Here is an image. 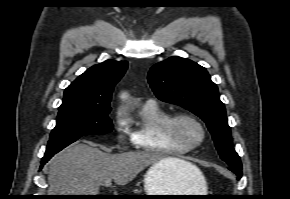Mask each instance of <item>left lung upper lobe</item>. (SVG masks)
<instances>
[{"label":"left lung upper lobe","instance_id":"1","mask_svg":"<svg viewBox=\"0 0 290 199\" xmlns=\"http://www.w3.org/2000/svg\"><path fill=\"white\" fill-rule=\"evenodd\" d=\"M148 81L158 99L179 105L206 123L221 159L228 166H242L233 148L218 88L204 67L186 58L170 57L150 69Z\"/></svg>","mask_w":290,"mask_h":199}]
</instances>
